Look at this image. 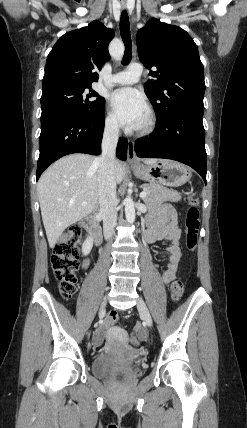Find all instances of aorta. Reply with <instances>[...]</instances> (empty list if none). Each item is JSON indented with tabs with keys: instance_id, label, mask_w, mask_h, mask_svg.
I'll use <instances>...</instances> for the list:
<instances>
[{
	"instance_id": "1",
	"label": "aorta",
	"mask_w": 247,
	"mask_h": 428,
	"mask_svg": "<svg viewBox=\"0 0 247 428\" xmlns=\"http://www.w3.org/2000/svg\"><path fill=\"white\" fill-rule=\"evenodd\" d=\"M111 54L115 60L121 61L123 58V54H124L123 46L120 45L117 50H112ZM124 204H125L126 220L129 223H133L135 221V217H136L134 201L130 196H127L124 200Z\"/></svg>"
}]
</instances>
